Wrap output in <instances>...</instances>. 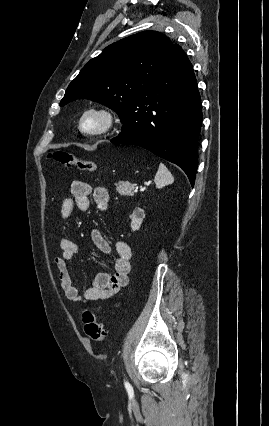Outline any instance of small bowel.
Wrapping results in <instances>:
<instances>
[{
    "instance_id": "1",
    "label": "small bowel",
    "mask_w": 269,
    "mask_h": 426,
    "mask_svg": "<svg viewBox=\"0 0 269 426\" xmlns=\"http://www.w3.org/2000/svg\"><path fill=\"white\" fill-rule=\"evenodd\" d=\"M92 195L95 204L101 210H106L110 203V194L105 187L92 188L82 181H73L70 187V196L62 202L60 215L63 219L71 217L74 209L87 211L90 208ZM94 246L102 253L110 254V245L103 233L94 229L91 233ZM61 254L54 259L58 271L60 288L67 300L73 303L88 304L90 302H104L112 298L129 282L131 271V249L121 240L115 242V258L111 270L98 273L90 286L82 294L74 284L67 262L74 259L79 251L77 243L68 238L59 241Z\"/></svg>"
}]
</instances>
